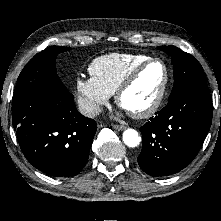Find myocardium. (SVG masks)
I'll return each mask as SVG.
<instances>
[{"mask_svg":"<svg viewBox=\"0 0 221 221\" xmlns=\"http://www.w3.org/2000/svg\"><path fill=\"white\" fill-rule=\"evenodd\" d=\"M152 63L162 64L164 68V72H165L164 80L162 82V85L159 89L157 96L155 97V99L149 106H147L146 108L140 111H134V112L127 111L134 118L142 119V118L150 117L161 106L163 99L166 95V91H167L169 80H170V71L166 62L163 59L156 58V57H153V58L150 57L149 59L141 62L129 72V74L124 78V80L121 82V84L118 86L115 92V101L121 108H123L121 100H122L124 93L134 84V82L136 81L138 76L141 74V72Z\"/></svg>","mask_w":221,"mask_h":221,"instance_id":"1","label":"myocardium"}]
</instances>
